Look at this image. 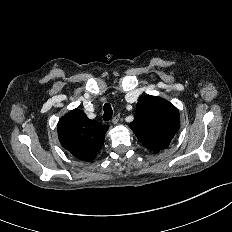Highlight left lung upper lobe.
<instances>
[{
	"label": "left lung upper lobe",
	"mask_w": 232,
	"mask_h": 232,
	"mask_svg": "<svg viewBox=\"0 0 232 232\" xmlns=\"http://www.w3.org/2000/svg\"><path fill=\"white\" fill-rule=\"evenodd\" d=\"M130 127L145 147L158 152L169 146L180 127L177 109L157 96L141 97Z\"/></svg>",
	"instance_id": "5c2ea615"
}]
</instances>
